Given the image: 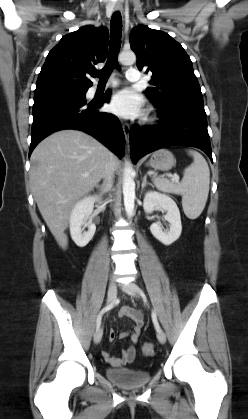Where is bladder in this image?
<instances>
[{
	"instance_id": "1",
	"label": "bladder",
	"mask_w": 248,
	"mask_h": 419,
	"mask_svg": "<svg viewBox=\"0 0 248 419\" xmlns=\"http://www.w3.org/2000/svg\"><path fill=\"white\" fill-rule=\"evenodd\" d=\"M105 375L111 382L125 389L142 387L151 379L150 371L132 367L107 368Z\"/></svg>"
}]
</instances>
